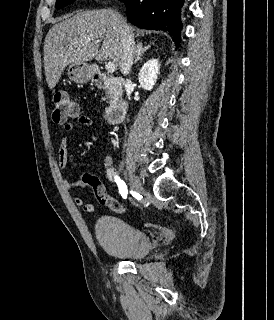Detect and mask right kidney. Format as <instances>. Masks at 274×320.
I'll return each mask as SVG.
<instances>
[{"instance_id": "obj_1", "label": "right kidney", "mask_w": 274, "mask_h": 320, "mask_svg": "<svg viewBox=\"0 0 274 320\" xmlns=\"http://www.w3.org/2000/svg\"><path fill=\"white\" fill-rule=\"evenodd\" d=\"M159 70V60H154V58H152V60H148V62L142 66L138 74V80L141 88H144V90H153L160 74Z\"/></svg>"}]
</instances>
